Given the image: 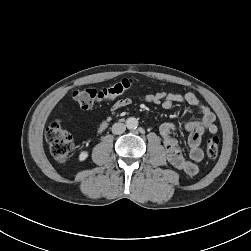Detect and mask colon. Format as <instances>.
Masks as SVG:
<instances>
[{
	"mask_svg": "<svg viewBox=\"0 0 251 251\" xmlns=\"http://www.w3.org/2000/svg\"><path fill=\"white\" fill-rule=\"evenodd\" d=\"M132 85L133 80L126 78L101 89H78L73 92V99L82 109H90L98 103L116 98L129 90ZM45 138L53 158L60 163L67 161L74 142L71 134L63 127L60 120H54L47 126ZM219 147L220 141L217 136L208 138L205 145L207 157L210 159L216 158Z\"/></svg>",
	"mask_w": 251,
	"mask_h": 251,
	"instance_id": "1",
	"label": "colon"
}]
</instances>
